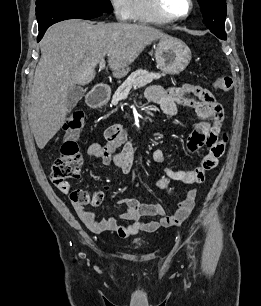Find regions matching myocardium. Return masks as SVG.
Returning <instances> with one entry per match:
<instances>
[{
  "label": "myocardium",
  "instance_id": "1",
  "mask_svg": "<svg viewBox=\"0 0 261 306\" xmlns=\"http://www.w3.org/2000/svg\"><path fill=\"white\" fill-rule=\"evenodd\" d=\"M150 2H151V6H152L153 10L156 12V14H158L166 22H176V21L184 20L191 15V13L194 9V0H188L189 8H188V11L184 15L171 16L165 11V9L163 7L162 0H150Z\"/></svg>",
  "mask_w": 261,
  "mask_h": 306
}]
</instances>
